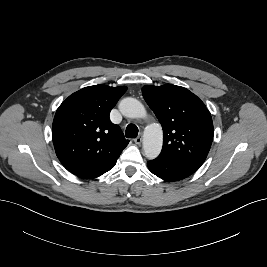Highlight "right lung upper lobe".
Segmentation results:
<instances>
[{
  "label": "right lung upper lobe",
  "instance_id": "right-lung-upper-lobe-1",
  "mask_svg": "<svg viewBox=\"0 0 267 267\" xmlns=\"http://www.w3.org/2000/svg\"><path fill=\"white\" fill-rule=\"evenodd\" d=\"M127 88L94 85L70 95L57 109L52 127L56 155L81 178H96L116 164L128 145L109 114Z\"/></svg>",
  "mask_w": 267,
  "mask_h": 267
}]
</instances>
